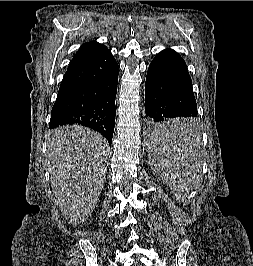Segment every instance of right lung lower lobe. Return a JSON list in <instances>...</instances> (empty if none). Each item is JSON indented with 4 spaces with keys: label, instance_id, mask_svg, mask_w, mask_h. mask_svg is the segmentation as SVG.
<instances>
[{
    "label": "right lung lower lobe",
    "instance_id": "right-lung-lower-lobe-1",
    "mask_svg": "<svg viewBox=\"0 0 253 266\" xmlns=\"http://www.w3.org/2000/svg\"><path fill=\"white\" fill-rule=\"evenodd\" d=\"M118 64L105 47L69 65L51 112L49 128L79 124L100 132L111 146L115 126Z\"/></svg>",
    "mask_w": 253,
    "mask_h": 266
}]
</instances>
